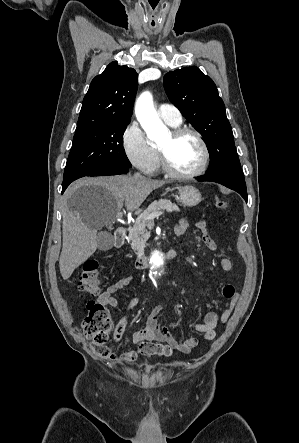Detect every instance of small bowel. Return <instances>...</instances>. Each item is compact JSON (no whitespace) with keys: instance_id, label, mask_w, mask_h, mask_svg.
Listing matches in <instances>:
<instances>
[{"instance_id":"small-bowel-1","label":"small bowel","mask_w":299,"mask_h":443,"mask_svg":"<svg viewBox=\"0 0 299 443\" xmlns=\"http://www.w3.org/2000/svg\"><path fill=\"white\" fill-rule=\"evenodd\" d=\"M197 227L202 232V239L206 247L212 251L216 250V241L207 232L205 221H199ZM186 228L187 222L181 219L175 227V233L177 235H183ZM220 266L223 270L230 271L233 268V263L230 258L223 256L220 259ZM133 280V275H126L110 284L99 294L98 302L111 307H117L119 302L114 294L128 286ZM221 295L229 301L222 312L211 311L205 316L202 322L189 325L190 328L200 332L205 340H213L216 337V327L228 321L237 303L238 294L232 284H224L221 288ZM137 303L138 299L132 298L127 306V310L132 309ZM162 310L163 307L161 305H155L147 317L146 326L133 334L132 344L125 347L126 351L119 356H115L109 352L107 358L130 363L137 358L138 353L162 354L165 356H170L176 351L184 354L190 353L198 345L197 338L189 337L182 341L177 340L160 321ZM127 325L128 316L125 314L115 328L113 337L115 344L120 342Z\"/></svg>"}]
</instances>
